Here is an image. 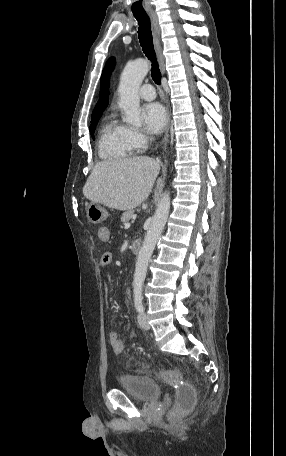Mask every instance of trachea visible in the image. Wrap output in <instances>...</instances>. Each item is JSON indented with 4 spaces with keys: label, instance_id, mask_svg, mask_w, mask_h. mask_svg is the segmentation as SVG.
Segmentation results:
<instances>
[{
    "label": "trachea",
    "instance_id": "trachea-1",
    "mask_svg": "<svg viewBox=\"0 0 286 456\" xmlns=\"http://www.w3.org/2000/svg\"><path fill=\"white\" fill-rule=\"evenodd\" d=\"M134 17L138 21V38L142 47L143 52L152 62L151 77L156 84L161 83V73L159 70L158 62L156 60V54L153 47V38L151 32L150 19L146 12L133 13Z\"/></svg>",
    "mask_w": 286,
    "mask_h": 456
}]
</instances>
